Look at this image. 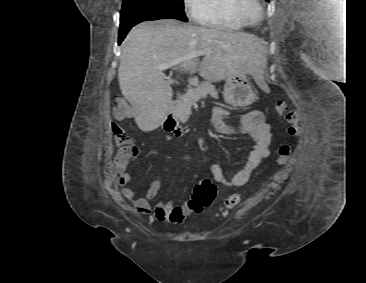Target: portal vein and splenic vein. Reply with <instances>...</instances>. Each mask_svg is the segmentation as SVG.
I'll list each match as a JSON object with an SVG mask.
<instances>
[{
    "label": "portal vein and splenic vein",
    "mask_w": 366,
    "mask_h": 283,
    "mask_svg": "<svg viewBox=\"0 0 366 283\" xmlns=\"http://www.w3.org/2000/svg\"><path fill=\"white\" fill-rule=\"evenodd\" d=\"M207 53H208V51H206V50H202V51H198V52H196L194 55H196V56H201V55H205V54H207ZM179 62H181V60H174V61H171V62H169V63L161 64V65H159V66H158V69H160V70H167V69H169L170 67H172V66H174V65L178 64Z\"/></svg>",
    "instance_id": "obj_1"
}]
</instances>
